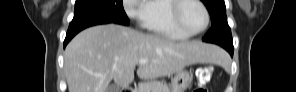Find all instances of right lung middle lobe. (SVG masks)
<instances>
[{
  "instance_id": "1",
  "label": "right lung middle lobe",
  "mask_w": 296,
  "mask_h": 92,
  "mask_svg": "<svg viewBox=\"0 0 296 92\" xmlns=\"http://www.w3.org/2000/svg\"><path fill=\"white\" fill-rule=\"evenodd\" d=\"M99 19L129 25L122 0H76L73 22Z\"/></svg>"
}]
</instances>
